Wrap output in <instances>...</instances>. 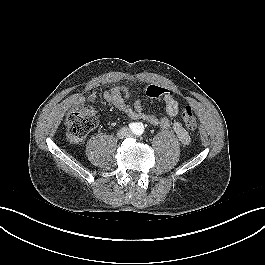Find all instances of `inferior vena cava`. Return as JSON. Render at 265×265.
I'll use <instances>...</instances> for the list:
<instances>
[{"instance_id":"602c4592","label":"inferior vena cava","mask_w":265,"mask_h":265,"mask_svg":"<svg viewBox=\"0 0 265 265\" xmlns=\"http://www.w3.org/2000/svg\"><path fill=\"white\" fill-rule=\"evenodd\" d=\"M132 135V132L128 128H122L120 131H118L117 136L118 138H125V137H130Z\"/></svg>"}]
</instances>
